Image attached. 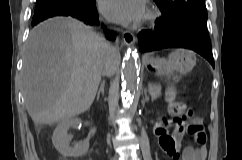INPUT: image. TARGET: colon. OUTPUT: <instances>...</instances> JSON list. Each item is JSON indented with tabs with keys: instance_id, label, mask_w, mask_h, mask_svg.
<instances>
[{
	"instance_id": "5ec220e1",
	"label": "colon",
	"mask_w": 242,
	"mask_h": 160,
	"mask_svg": "<svg viewBox=\"0 0 242 160\" xmlns=\"http://www.w3.org/2000/svg\"><path fill=\"white\" fill-rule=\"evenodd\" d=\"M168 101H169V108H170V114L171 118L173 120H176L177 118L181 117L183 114L189 112L186 107L178 102L175 98V92L174 90L170 89L168 91ZM171 122V119L163 117L159 121V125L156 128L157 132H162L168 126V124ZM200 131L201 132V140L205 138V135L203 133V127H198L197 129H193V131Z\"/></svg>"
}]
</instances>
